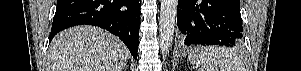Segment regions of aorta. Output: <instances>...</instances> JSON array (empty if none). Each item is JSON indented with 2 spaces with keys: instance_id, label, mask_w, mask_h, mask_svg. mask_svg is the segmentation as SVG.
I'll return each instance as SVG.
<instances>
[{
  "instance_id": "obj_1",
  "label": "aorta",
  "mask_w": 301,
  "mask_h": 71,
  "mask_svg": "<svg viewBox=\"0 0 301 71\" xmlns=\"http://www.w3.org/2000/svg\"><path fill=\"white\" fill-rule=\"evenodd\" d=\"M177 2V0H161L159 44L163 58L167 56L172 46L177 14Z\"/></svg>"
}]
</instances>
